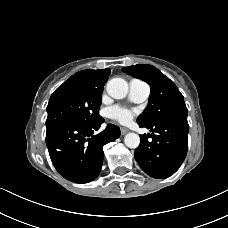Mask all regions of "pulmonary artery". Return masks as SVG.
I'll use <instances>...</instances> for the list:
<instances>
[{"label":"pulmonary artery","mask_w":228,"mask_h":228,"mask_svg":"<svg viewBox=\"0 0 228 228\" xmlns=\"http://www.w3.org/2000/svg\"><path fill=\"white\" fill-rule=\"evenodd\" d=\"M150 86L139 79H132L129 82V99L135 103H141L150 96Z\"/></svg>","instance_id":"1"}]
</instances>
